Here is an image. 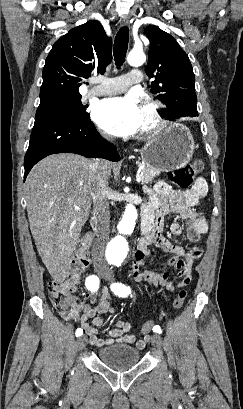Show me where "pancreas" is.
<instances>
[{
    "label": "pancreas",
    "mask_w": 243,
    "mask_h": 409,
    "mask_svg": "<svg viewBox=\"0 0 243 409\" xmlns=\"http://www.w3.org/2000/svg\"><path fill=\"white\" fill-rule=\"evenodd\" d=\"M138 165H139V166H142L143 164L139 163ZM159 173H160L159 171L154 170V169L149 168V167H144V168H142L141 171H140V174H141V183H142L143 185L149 183L150 181H152V179H153L155 176L159 175Z\"/></svg>",
    "instance_id": "obj_1"
}]
</instances>
